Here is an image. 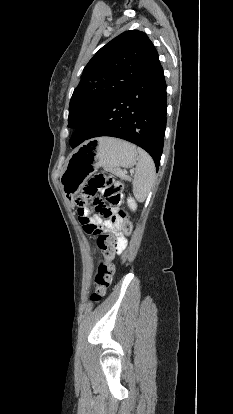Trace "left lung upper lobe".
I'll use <instances>...</instances> for the list:
<instances>
[{
  "mask_svg": "<svg viewBox=\"0 0 233 414\" xmlns=\"http://www.w3.org/2000/svg\"><path fill=\"white\" fill-rule=\"evenodd\" d=\"M158 59L147 35L126 31L103 46L83 69L69 104L68 127L77 128L139 79Z\"/></svg>",
  "mask_w": 233,
  "mask_h": 414,
  "instance_id": "5c2ea615",
  "label": "left lung upper lobe"
}]
</instances>
